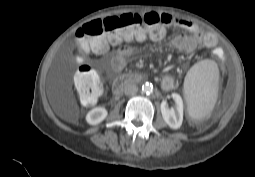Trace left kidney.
I'll return each instance as SVG.
<instances>
[{
  "instance_id": "1",
  "label": "left kidney",
  "mask_w": 255,
  "mask_h": 177,
  "mask_svg": "<svg viewBox=\"0 0 255 177\" xmlns=\"http://www.w3.org/2000/svg\"><path fill=\"white\" fill-rule=\"evenodd\" d=\"M172 98L175 102L173 108H169L166 101L161 103V113L166 124L172 129H178L183 121V100L179 94L173 93Z\"/></svg>"
}]
</instances>
